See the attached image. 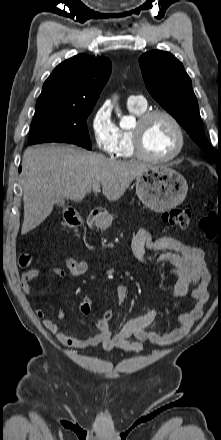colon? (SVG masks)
Here are the masks:
<instances>
[{"instance_id":"1","label":"colon","mask_w":221,"mask_h":440,"mask_svg":"<svg viewBox=\"0 0 221 440\" xmlns=\"http://www.w3.org/2000/svg\"><path fill=\"white\" fill-rule=\"evenodd\" d=\"M163 221L171 226H175L178 228H186L191 219V212L188 208L184 207H175L171 208L163 213ZM82 217L81 215L72 208H67L63 213V225L68 230H76L82 225ZM201 230L207 235L209 238L215 237L218 231V222L216 218L208 214L200 221ZM30 263L29 255H22L20 258V264L22 266H27ZM92 309V302L89 298L83 299L79 304V310L82 314H89ZM103 321H112L113 314L108 309H105L102 312Z\"/></svg>"}]
</instances>
